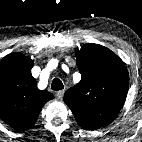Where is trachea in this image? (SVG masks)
Listing matches in <instances>:
<instances>
[{
  "instance_id": "trachea-1",
  "label": "trachea",
  "mask_w": 142,
  "mask_h": 142,
  "mask_svg": "<svg viewBox=\"0 0 142 142\" xmlns=\"http://www.w3.org/2000/svg\"><path fill=\"white\" fill-rule=\"evenodd\" d=\"M64 88L63 83L61 82L60 79L54 78L52 81L51 89L54 91H58Z\"/></svg>"
}]
</instances>
